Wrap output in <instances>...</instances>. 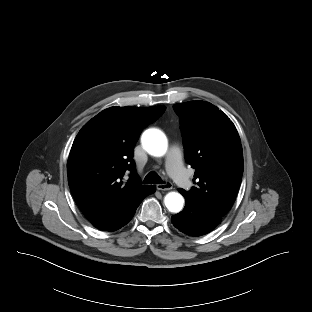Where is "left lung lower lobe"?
Returning a JSON list of instances; mask_svg holds the SVG:
<instances>
[{
    "mask_svg": "<svg viewBox=\"0 0 312 312\" xmlns=\"http://www.w3.org/2000/svg\"><path fill=\"white\" fill-rule=\"evenodd\" d=\"M173 225L190 236H200L212 231L221 217L213 215L186 201L184 210L171 218Z\"/></svg>",
    "mask_w": 312,
    "mask_h": 312,
    "instance_id": "1",
    "label": "left lung lower lobe"
}]
</instances>
